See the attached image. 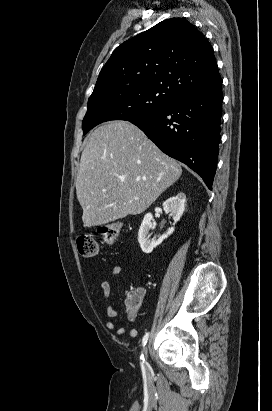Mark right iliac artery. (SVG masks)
Instances as JSON below:
<instances>
[{
	"label": "right iliac artery",
	"instance_id": "obj_1",
	"mask_svg": "<svg viewBox=\"0 0 272 411\" xmlns=\"http://www.w3.org/2000/svg\"><path fill=\"white\" fill-rule=\"evenodd\" d=\"M148 337H149V333H146V334L144 335L143 339H142V346H143V347L146 345V343H147V341H148ZM140 359H141V367H142V369L144 370L145 359H144V355H143V354H141Z\"/></svg>",
	"mask_w": 272,
	"mask_h": 411
}]
</instances>
